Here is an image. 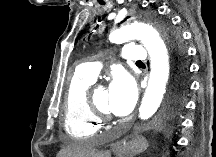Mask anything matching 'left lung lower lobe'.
Instances as JSON below:
<instances>
[{"label":"left lung lower lobe","instance_id":"1","mask_svg":"<svg viewBox=\"0 0 216 157\" xmlns=\"http://www.w3.org/2000/svg\"><path fill=\"white\" fill-rule=\"evenodd\" d=\"M187 72H188V65H187ZM186 76L184 81L182 82L180 80V77L178 76V73L176 71H174L173 73L172 80H171V91H170L171 94L168 103L169 114H172L175 108H177L181 104L182 97L186 92V90L188 89V82Z\"/></svg>","mask_w":216,"mask_h":157}]
</instances>
